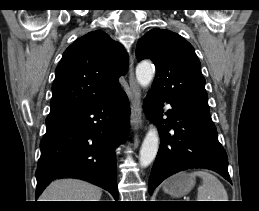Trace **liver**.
Instances as JSON below:
<instances>
[{
  "label": "liver",
  "mask_w": 259,
  "mask_h": 211,
  "mask_svg": "<svg viewBox=\"0 0 259 211\" xmlns=\"http://www.w3.org/2000/svg\"><path fill=\"white\" fill-rule=\"evenodd\" d=\"M102 190L88 182L62 179L52 182L39 201H100Z\"/></svg>",
  "instance_id": "obj_1"
}]
</instances>
